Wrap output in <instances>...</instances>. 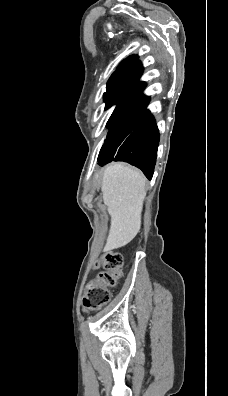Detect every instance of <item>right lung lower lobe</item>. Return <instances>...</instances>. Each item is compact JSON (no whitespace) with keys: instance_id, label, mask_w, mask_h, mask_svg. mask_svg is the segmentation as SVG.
Segmentation results:
<instances>
[{"instance_id":"98d812e1","label":"right lung lower lobe","mask_w":228,"mask_h":396,"mask_svg":"<svg viewBox=\"0 0 228 396\" xmlns=\"http://www.w3.org/2000/svg\"><path fill=\"white\" fill-rule=\"evenodd\" d=\"M144 83L129 108L115 123L101 148L98 161L104 166L124 161L141 169L150 180L159 143V131L146 107L149 97L141 94Z\"/></svg>"}]
</instances>
